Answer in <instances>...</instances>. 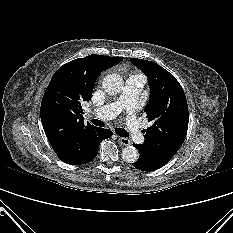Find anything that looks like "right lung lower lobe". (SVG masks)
I'll list each match as a JSON object with an SVG mask.
<instances>
[{"mask_svg": "<svg viewBox=\"0 0 233 233\" xmlns=\"http://www.w3.org/2000/svg\"><path fill=\"white\" fill-rule=\"evenodd\" d=\"M112 134V131L109 129L97 127L81 144L76 154L62 161L70 165H80L90 162L97 156L101 141L109 138Z\"/></svg>", "mask_w": 233, "mask_h": 233, "instance_id": "obj_1", "label": "right lung lower lobe"}]
</instances>
